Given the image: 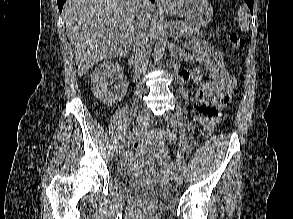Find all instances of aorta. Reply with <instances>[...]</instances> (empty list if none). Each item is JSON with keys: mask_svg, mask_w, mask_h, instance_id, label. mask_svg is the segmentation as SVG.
I'll return each instance as SVG.
<instances>
[{"mask_svg": "<svg viewBox=\"0 0 293 219\" xmlns=\"http://www.w3.org/2000/svg\"><path fill=\"white\" fill-rule=\"evenodd\" d=\"M167 41H168L167 33L165 32L163 25L159 23L157 33H156V44H155V51H154L156 61H160V59L163 57Z\"/></svg>", "mask_w": 293, "mask_h": 219, "instance_id": "obj_1", "label": "aorta"}]
</instances>
